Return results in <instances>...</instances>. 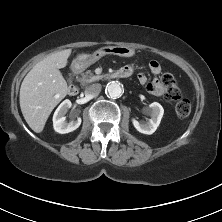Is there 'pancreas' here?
<instances>
[{"label": "pancreas", "mask_w": 222, "mask_h": 222, "mask_svg": "<svg viewBox=\"0 0 222 222\" xmlns=\"http://www.w3.org/2000/svg\"><path fill=\"white\" fill-rule=\"evenodd\" d=\"M102 79V76L94 75L91 70H87L85 73L81 74V78H79V82L81 85L85 86L89 83L99 81Z\"/></svg>", "instance_id": "obj_1"}]
</instances>
